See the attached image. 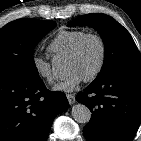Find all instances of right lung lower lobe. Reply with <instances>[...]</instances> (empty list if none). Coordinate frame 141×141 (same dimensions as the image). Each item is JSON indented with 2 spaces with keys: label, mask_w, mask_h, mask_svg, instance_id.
<instances>
[{
  "label": "right lung lower lobe",
  "mask_w": 141,
  "mask_h": 141,
  "mask_svg": "<svg viewBox=\"0 0 141 141\" xmlns=\"http://www.w3.org/2000/svg\"><path fill=\"white\" fill-rule=\"evenodd\" d=\"M39 76L0 77V141H46L56 115L68 108Z\"/></svg>",
  "instance_id": "1"
}]
</instances>
